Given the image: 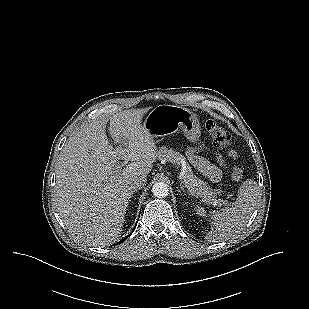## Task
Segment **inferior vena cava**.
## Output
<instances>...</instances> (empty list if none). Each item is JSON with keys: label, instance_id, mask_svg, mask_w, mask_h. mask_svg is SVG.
<instances>
[{"label": "inferior vena cava", "instance_id": "obj_1", "mask_svg": "<svg viewBox=\"0 0 309 309\" xmlns=\"http://www.w3.org/2000/svg\"><path fill=\"white\" fill-rule=\"evenodd\" d=\"M146 182H147L146 176L137 175V176L132 177L128 181V186L132 190H137V189H141L142 187H144L146 185Z\"/></svg>", "mask_w": 309, "mask_h": 309}]
</instances>
